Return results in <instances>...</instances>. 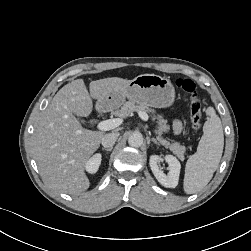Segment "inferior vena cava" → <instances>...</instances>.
<instances>
[{
    "label": "inferior vena cava",
    "mask_w": 251,
    "mask_h": 251,
    "mask_svg": "<svg viewBox=\"0 0 251 251\" xmlns=\"http://www.w3.org/2000/svg\"><path fill=\"white\" fill-rule=\"evenodd\" d=\"M118 137H119V133L118 132H113V133L105 134L102 137V139H101V144L105 148L113 147V145L115 144V142L118 139Z\"/></svg>",
    "instance_id": "inferior-vena-cava-1"
}]
</instances>
